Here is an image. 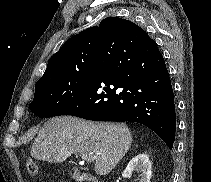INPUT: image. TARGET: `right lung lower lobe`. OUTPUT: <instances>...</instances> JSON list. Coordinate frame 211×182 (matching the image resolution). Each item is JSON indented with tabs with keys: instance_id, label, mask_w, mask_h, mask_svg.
Here are the masks:
<instances>
[{
	"instance_id": "98d812e1",
	"label": "right lung lower lobe",
	"mask_w": 211,
	"mask_h": 182,
	"mask_svg": "<svg viewBox=\"0 0 211 182\" xmlns=\"http://www.w3.org/2000/svg\"><path fill=\"white\" fill-rule=\"evenodd\" d=\"M94 121H132L172 149L176 114L164 58L151 38L131 41L123 30L102 34L89 82L60 114Z\"/></svg>"
}]
</instances>
